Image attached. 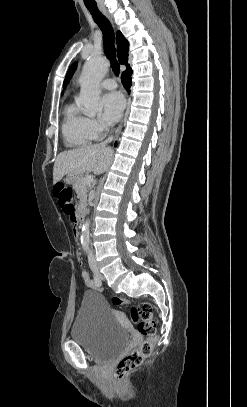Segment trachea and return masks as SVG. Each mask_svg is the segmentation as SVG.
<instances>
[{
    "instance_id": "3493384b",
    "label": "trachea",
    "mask_w": 247,
    "mask_h": 407,
    "mask_svg": "<svg viewBox=\"0 0 247 407\" xmlns=\"http://www.w3.org/2000/svg\"><path fill=\"white\" fill-rule=\"evenodd\" d=\"M93 17L95 23L103 33V46L108 59L111 62L112 71L116 76L120 73V68L115 59L114 30L110 21L100 12L97 6H86Z\"/></svg>"
}]
</instances>
